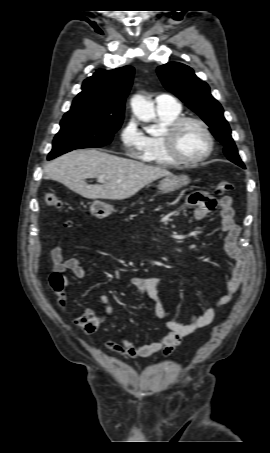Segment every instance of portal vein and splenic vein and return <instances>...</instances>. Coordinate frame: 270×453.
<instances>
[{
  "label": "portal vein and splenic vein",
  "instance_id": "18ae733b",
  "mask_svg": "<svg viewBox=\"0 0 270 453\" xmlns=\"http://www.w3.org/2000/svg\"><path fill=\"white\" fill-rule=\"evenodd\" d=\"M98 181H99L100 183H105V180H104L102 177H99Z\"/></svg>",
  "mask_w": 270,
  "mask_h": 453
}]
</instances>
